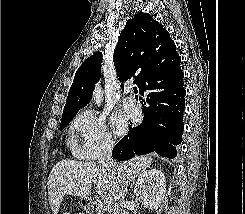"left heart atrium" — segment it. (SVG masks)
I'll return each mask as SVG.
<instances>
[{
    "label": "left heart atrium",
    "mask_w": 245,
    "mask_h": 214,
    "mask_svg": "<svg viewBox=\"0 0 245 214\" xmlns=\"http://www.w3.org/2000/svg\"><path fill=\"white\" fill-rule=\"evenodd\" d=\"M112 126L116 133L121 134L124 132L125 124L120 118H113L112 119Z\"/></svg>",
    "instance_id": "39dd6f15"
}]
</instances>
